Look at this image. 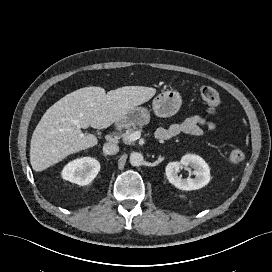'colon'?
<instances>
[{
  "label": "colon",
  "mask_w": 272,
  "mask_h": 272,
  "mask_svg": "<svg viewBox=\"0 0 272 272\" xmlns=\"http://www.w3.org/2000/svg\"><path fill=\"white\" fill-rule=\"evenodd\" d=\"M200 96L210 113L216 112L221 106V98L218 91L211 86H202L200 88ZM227 159L235 164L244 162L246 155L242 150L231 149L225 152Z\"/></svg>",
  "instance_id": "colon-1"
}]
</instances>
